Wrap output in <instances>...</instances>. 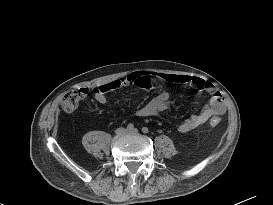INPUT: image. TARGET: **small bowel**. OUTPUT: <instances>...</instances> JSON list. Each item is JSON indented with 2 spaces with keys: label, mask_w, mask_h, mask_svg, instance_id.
Masks as SVG:
<instances>
[{
  "label": "small bowel",
  "mask_w": 273,
  "mask_h": 205,
  "mask_svg": "<svg viewBox=\"0 0 273 205\" xmlns=\"http://www.w3.org/2000/svg\"><path fill=\"white\" fill-rule=\"evenodd\" d=\"M174 83L186 84L196 90H204L210 96L209 104L206 105L199 113L193 114L179 124L181 132L194 130L213 116H221L226 111V103L217 88L213 84L203 79L177 73H155L149 76H143L140 72H132L123 79H114L109 82L100 84L93 88L92 92L96 101L100 104L107 102L106 94L127 86H136L140 89H150L154 84ZM170 94L162 92L149 100L145 105L140 107L136 114L138 116L156 115L168 108Z\"/></svg>",
  "instance_id": "small-bowel-1"
}]
</instances>
